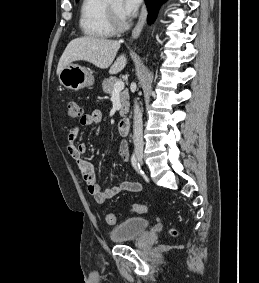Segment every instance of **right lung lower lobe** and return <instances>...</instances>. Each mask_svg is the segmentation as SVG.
I'll use <instances>...</instances> for the list:
<instances>
[{
    "label": "right lung lower lobe",
    "mask_w": 259,
    "mask_h": 283,
    "mask_svg": "<svg viewBox=\"0 0 259 283\" xmlns=\"http://www.w3.org/2000/svg\"><path fill=\"white\" fill-rule=\"evenodd\" d=\"M148 6L149 12V21L152 22L154 21L157 11L160 7V5L165 1V0H145Z\"/></svg>",
    "instance_id": "obj_1"
}]
</instances>
